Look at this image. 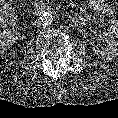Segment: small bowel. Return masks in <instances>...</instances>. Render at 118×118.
<instances>
[{"mask_svg":"<svg viewBox=\"0 0 118 118\" xmlns=\"http://www.w3.org/2000/svg\"><path fill=\"white\" fill-rule=\"evenodd\" d=\"M90 6L96 10L100 11L105 15L113 16L118 13V10H116L113 6L106 3V0H92L90 2ZM115 31L118 36V27L115 26Z\"/></svg>","mask_w":118,"mask_h":118,"instance_id":"small-bowel-1","label":"small bowel"}]
</instances>
